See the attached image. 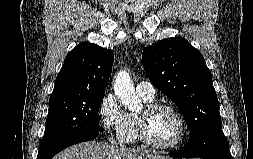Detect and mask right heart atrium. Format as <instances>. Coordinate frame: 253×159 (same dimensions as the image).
I'll return each mask as SVG.
<instances>
[{
  "label": "right heart atrium",
  "instance_id": "d8ad5b80",
  "mask_svg": "<svg viewBox=\"0 0 253 159\" xmlns=\"http://www.w3.org/2000/svg\"><path fill=\"white\" fill-rule=\"evenodd\" d=\"M101 126L109 141L124 144L126 140L127 114L113 93L106 94L98 108Z\"/></svg>",
  "mask_w": 253,
  "mask_h": 159
}]
</instances>
